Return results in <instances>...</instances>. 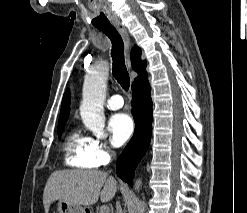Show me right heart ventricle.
Segmentation results:
<instances>
[{"instance_id":"right-heart-ventricle-1","label":"right heart ventricle","mask_w":247,"mask_h":213,"mask_svg":"<svg viewBox=\"0 0 247 213\" xmlns=\"http://www.w3.org/2000/svg\"><path fill=\"white\" fill-rule=\"evenodd\" d=\"M90 139L77 130H72L64 143L65 161L68 165L78 168H92L94 165L88 157Z\"/></svg>"}]
</instances>
